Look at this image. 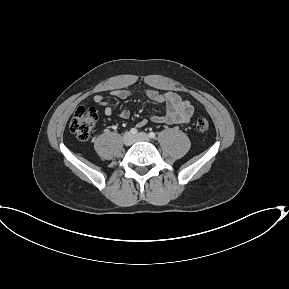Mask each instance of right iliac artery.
<instances>
[{"mask_svg":"<svg viewBox=\"0 0 289 289\" xmlns=\"http://www.w3.org/2000/svg\"><path fill=\"white\" fill-rule=\"evenodd\" d=\"M137 132H138V130H137L136 128H132V129L130 130V133H131L132 135L137 134Z\"/></svg>","mask_w":289,"mask_h":289,"instance_id":"right-iliac-artery-1","label":"right iliac artery"}]
</instances>
